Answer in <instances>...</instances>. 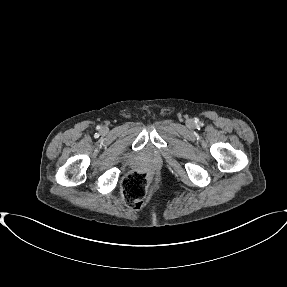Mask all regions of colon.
I'll return each mask as SVG.
<instances>
[{
	"label": "colon",
	"mask_w": 287,
	"mask_h": 287,
	"mask_svg": "<svg viewBox=\"0 0 287 287\" xmlns=\"http://www.w3.org/2000/svg\"><path fill=\"white\" fill-rule=\"evenodd\" d=\"M149 184L148 174L134 172L128 175L122 183V196L131 208H140L144 204Z\"/></svg>",
	"instance_id": "5ec220e1"
}]
</instances>
